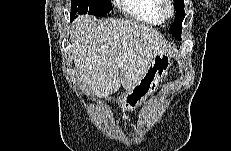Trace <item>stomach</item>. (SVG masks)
<instances>
[{"instance_id": "0dacf381", "label": "stomach", "mask_w": 231, "mask_h": 151, "mask_svg": "<svg viewBox=\"0 0 231 151\" xmlns=\"http://www.w3.org/2000/svg\"><path fill=\"white\" fill-rule=\"evenodd\" d=\"M171 65L170 55L157 54L154 56L139 82L119 97L118 103L122 110H135L149 95L153 94L158 89L164 76L167 75Z\"/></svg>"}]
</instances>
